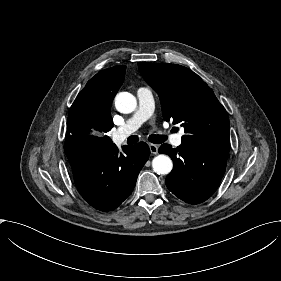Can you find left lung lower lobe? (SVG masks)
<instances>
[{"label":"left lung lower lobe","instance_id":"0a47b994","mask_svg":"<svg viewBox=\"0 0 281 281\" xmlns=\"http://www.w3.org/2000/svg\"><path fill=\"white\" fill-rule=\"evenodd\" d=\"M230 145H187L172 148L163 144L160 153L171 157L172 172L166 177L168 189L189 204L204 202L216 191L225 173Z\"/></svg>","mask_w":281,"mask_h":281}]
</instances>
